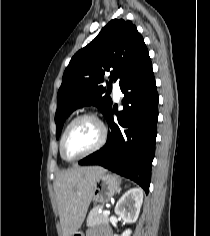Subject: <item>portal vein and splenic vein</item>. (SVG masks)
<instances>
[{
  "label": "portal vein and splenic vein",
  "instance_id": "1",
  "mask_svg": "<svg viewBox=\"0 0 210 236\" xmlns=\"http://www.w3.org/2000/svg\"><path fill=\"white\" fill-rule=\"evenodd\" d=\"M103 214H104V215H109V214H110V211H109L108 209H107V210H104V211H103Z\"/></svg>",
  "mask_w": 210,
  "mask_h": 236
}]
</instances>
